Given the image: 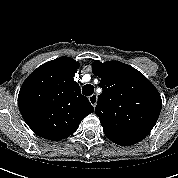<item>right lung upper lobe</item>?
<instances>
[{
  "mask_svg": "<svg viewBox=\"0 0 178 178\" xmlns=\"http://www.w3.org/2000/svg\"><path fill=\"white\" fill-rule=\"evenodd\" d=\"M78 67L74 59L60 57L39 66L23 82L18 95L19 110L38 136L51 141L64 139L94 112L74 81Z\"/></svg>",
  "mask_w": 178,
  "mask_h": 178,
  "instance_id": "obj_1",
  "label": "right lung upper lobe"
}]
</instances>
